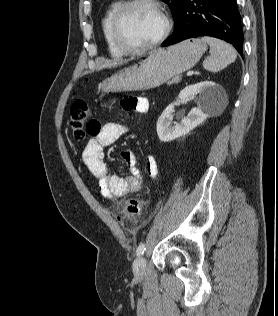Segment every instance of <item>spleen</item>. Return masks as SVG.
<instances>
[{"mask_svg":"<svg viewBox=\"0 0 278 316\" xmlns=\"http://www.w3.org/2000/svg\"><path fill=\"white\" fill-rule=\"evenodd\" d=\"M202 41L210 46V56L203 62V67L211 72H218L233 63L237 57L235 49L228 43L204 36Z\"/></svg>","mask_w":278,"mask_h":316,"instance_id":"obj_1","label":"spleen"}]
</instances>
